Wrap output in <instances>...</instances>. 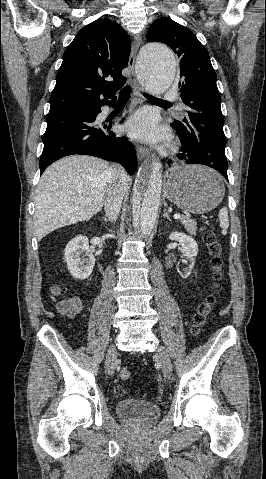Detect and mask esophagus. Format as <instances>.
I'll use <instances>...</instances> for the list:
<instances>
[{
	"mask_svg": "<svg viewBox=\"0 0 266 479\" xmlns=\"http://www.w3.org/2000/svg\"><path fill=\"white\" fill-rule=\"evenodd\" d=\"M141 44V37L138 36L132 43L131 47V53L128 61V68L130 69V77H129V82L135 89V94L136 96L140 97V90H141V85L138 82L136 73H135V60H136V55L139 49V46ZM137 158L141 162L144 158H150V152L147 148L142 147V146H137Z\"/></svg>",
	"mask_w": 266,
	"mask_h": 479,
	"instance_id": "1",
	"label": "esophagus"
}]
</instances>
